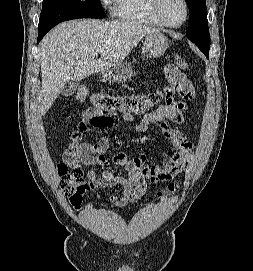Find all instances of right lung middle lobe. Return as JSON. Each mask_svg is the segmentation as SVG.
<instances>
[{
    "mask_svg": "<svg viewBox=\"0 0 253 271\" xmlns=\"http://www.w3.org/2000/svg\"><path fill=\"white\" fill-rule=\"evenodd\" d=\"M104 17L100 0H43L38 32H48L65 20Z\"/></svg>",
    "mask_w": 253,
    "mask_h": 271,
    "instance_id": "1",
    "label": "right lung middle lobe"
}]
</instances>
